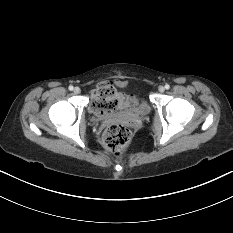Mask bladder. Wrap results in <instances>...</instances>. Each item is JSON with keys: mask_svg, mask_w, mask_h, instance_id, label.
Wrapping results in <instances>:
<instances>
[{"mask_svg": "<svg viewBox=\"0 0 233 233\" xmlns=\"http://www.w3.org/2000/svg\"><path fill=\"white\" fill-rule=\"evenodd\" d=\"M123 109L126 112L135 115H147L150 111V107L146 100H144L139 95H135L127 99V102L123 106Z\"/></svg>", "mask_w": 233, "mask_h": 233, "instance_id": "1", "label": "bladder"}]
</instances>
